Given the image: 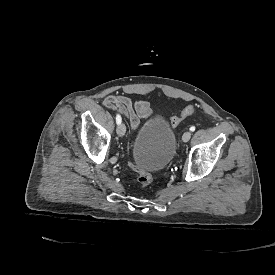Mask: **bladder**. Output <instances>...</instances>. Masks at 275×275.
<instances>
[{
	"label": "bladder",
	"mask_w": 275,
	"mask_h": 275,
	"mask_svg": "<svg viewBox=\"0 0 275 275\" xmlns=\"http://www.w3.org/2000/svg\"><path fill=\"white\" fill-rule=\"evenodd\" d=\"M174 153V130L165 117L150 119L136 132L131 154L138 167L160 171L170 164Z\"/></svg>",
	"instance_id": "obj_1"
}]
</instances>
